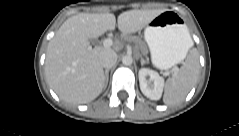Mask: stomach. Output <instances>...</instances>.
<instances>
[{"instance_id": "1", "label": "stomach", "mask_w": 239, "mask_h": 136, "mask_svg": "<svg viewBox=\"0 0 239 136\" xmlns=\"http://www.w3.org/2000/svg\"><path fill=\"white\" fill-rule=\"evenodd\" d=\"M188 28L182 17L173 11H164L145 27L144 39L155 67L169 69L186 57L191 47Z\"/></svg>"}]
</instances>
